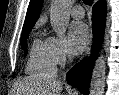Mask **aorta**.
I'll list each match as a JSON object with an SVG mask.
<instances>
[{
	"instance_id": "obj_1",
	"label": "aorta",
	"mask_w": 119,
	"mask_h": 95,
	"mask_svg": "<svg viewBox=\"0 0 119 95\" xmlns=\"http://www.w3.org/2000/svg\"><path fill=\"white\" fill-rule=\"evenodd\" d=\"M74 0H52L50 17L53 30L58 37H65ZM106 80V58L100 53L91 78L89 95H104Z\"/></svg>"
}]
</instances>
